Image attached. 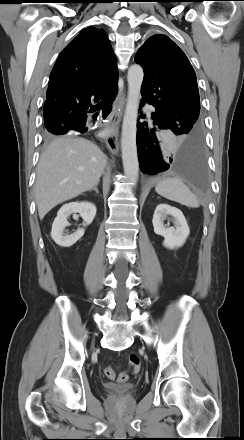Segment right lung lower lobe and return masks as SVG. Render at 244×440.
<instances>
[{"label":"right lung lower lobe","mask_w":244,"mask_h":440,"mask_svg":"<svg viewBox=\"0 0 244 440\" xmlns=\"http://www.w3.org/2000/svg\"><path fill=\"white\" fill-rule=\"evenodd\" d=\"M114 98L115 96L111 98V100H113ZM86 119L87 116L76 119L60 120L58 123L50 125L46 128L56 132L57 135H63L69 131H78L80 133H84L87 131V128L85 127Z\"/></svg>","instance_id":"obj_1"}]
</instances>
